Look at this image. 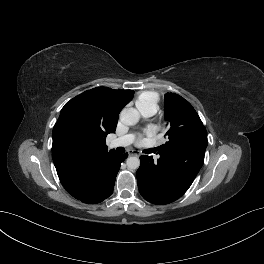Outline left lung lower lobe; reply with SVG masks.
I'll return each instance as SVG.
<instances>
[{
    "mask_svg": "<svg viewBox=\"0 0 264 264\" xmlns=\"http://www.w3.org/2000/svg\"><path fill=\"white\" fill-rule=\"evenodd\" d=\"M197 149L190 158L184 150L168 153L159 150L157 160L140 156L137 182L142 197L153 204H168L181 197L203 165L206 148Z\"/></svg>",
    "mask_w": 264,
    "mask_h": 264,
    "instance_id": "0a47b994",
    "label": "left lung lower lobe"
}]
</instances>
